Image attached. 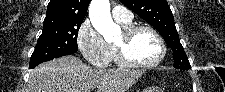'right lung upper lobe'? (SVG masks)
I'll return each instance as SVG.
<instances>
[{
	"mask_svg": "<svg viewBox=\"0 0 225 92\" xmlns=\"http://www.w3.org/2000/svg\"><path fill=\"white\" fill-rule=\"evenodd\" d=\"M90 0H51L44 24L83 22Z\"/></svg>",
	"mask_w": 225,
	"mask_h": 92,
	"instance_id": "obj_1",
	"label": "right lung upper lobe"
}]
</instances>
